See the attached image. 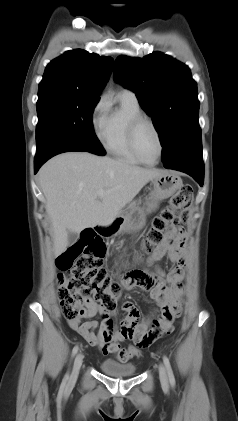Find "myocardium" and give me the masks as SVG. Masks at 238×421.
Wrapping results in <instances>:
<instances>
[{"label": "myocardium", "instance_id": "myocardium-1", "mask_svg": "<svg viewBox=\"0 0 238 421\" xmlns=\"http://www.w3.org/2000/svg\"><path fill=\"white\" fill-rule=\"evenodd\" d=\"M143 122H147V123H149L152 126V128L154 129V131L156 133L157 139H158V143H159V154H158L157 159L155 161H153V162H147V161H145L141 157V155L139 154L138 149H137V146H136V135H137V131H138L139 126ZM128 140H129V146H130V149H131L132 153L134 154V156L137 158V160L140 163H142L144 165H147V166H154V165H156L160 161V159L162 157V154H163V151H164L163 139H162V135H161V132H160L157 124L155 123V121L151 117H149L147 115H144V114H139V115L135 116L131 120V122L129 124V128H128Z\"/></svg>", "mask_w": 238, "mask_h": 421}]
</instances>
